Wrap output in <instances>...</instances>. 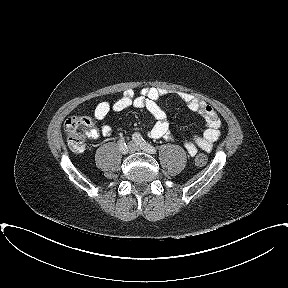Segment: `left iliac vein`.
Here are the masks:
<instances>
[{
    "label": "left iliac vein",
    "instance_id": "obj_1",
    "mask_svg": "<svg viewBox=\"0 0 288 288\" xmlns=\"http://www.w3.org/2000/svg\"><path fill=\"white\" fill-rule=\"evenodd\" d=\"M132 145L134 146V150L135 151H140L141 150V148L139 146H137L136 144L132 143Z\"/></svg>",
    "mask_w": 288,
    "mask_h": 288
}]
</instances>
